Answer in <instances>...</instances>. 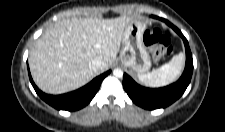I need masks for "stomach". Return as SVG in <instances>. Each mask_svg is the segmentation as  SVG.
Returning a JSON list of instances; mask_svg holds the SVG:
<instances>
[{"mask_svg":"<svg viewBox=\"0 0 225 132\" xmlns=\"http://www.w3.org/2000/svg\"><path fill=\"white\" fill-rule=\"evenodd\" d=\"M146 25L133 19L123 32L120 61L122 65L137 74H145L151 67L150 56L144 42Z\"/></svg>","mask_w":225,"mask_h":132,"instance_id":"0dacf381","label":"stomach"}]
</instances>
